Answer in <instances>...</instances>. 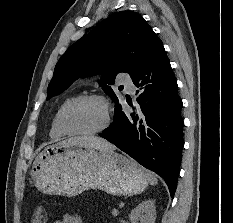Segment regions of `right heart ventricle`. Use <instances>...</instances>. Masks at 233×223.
<instances>
[{
  "instance_id": "obj_1",
  "label": "right heart ventricle",
  "mask_w": 233,
  "mask_h": 223,
  "mask_svg": "<svg viewBox=\"0 0 233 223\" xmlns=\"http://www.w3.org/2000/svg\"><path fill=\"white\" fill-rule=\"evenodd\" d=\"M75 97V95H68L66 96L58 105L53 118L51 120V124H50V129H49V135L51 137V139L53 140H59L63 137H65L67 134H65L64 132H62L58 126V115L61 111V109L63 108V106L70 101L71 99H73Z\"/></svg>"
}]
</instances>
